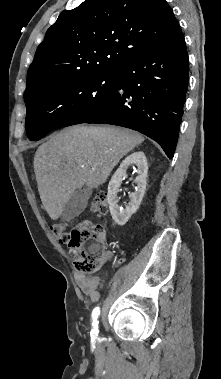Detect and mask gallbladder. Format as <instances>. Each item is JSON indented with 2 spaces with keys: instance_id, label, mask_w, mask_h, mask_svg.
Masks as SVG:
<instances>
[{
  "instance_id": "gallbladder-1",
  "label": "gallbladder",
  "mask_w": 221,
  "mask_h": 379,
  "mask_svg": "<svg viewBox=\"0 0 221 379\" xmlns=\"http://www.w3.org/2000/svg\"><path fill=\"white\" fill-rule=\"evenodd\" d=\"M90 194L91 191L87 186L75 190L62 208V220L70 221L80 215L86 208Z\"/></svg>"
}]
</instances>
